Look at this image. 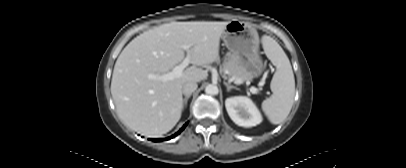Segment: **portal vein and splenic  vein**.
<instances>
[{"label":"portal vein and splenic vein","mask_w":406,"mask_h":168,"mask_svg":"<svg viewBox=\"0 0 406 168\" xmlns=\"http://www.w3.org/2000/svg\"><path fill=\"white\" fill-rule=\"evenodd\" d=\"M182 48H183L184 50H186V51H189L190 45L184 44V45L182 46ZM189 63H190V59H189V57L187 56V57L183 60V62H182L181 64L175 66L171 72H168V73H166V74H163V75L159 76L158 78H159L160 80H162V81H169V80H173L174 78L181 77L182 74H183V70L189 65ZM235 82H236L237 84H241V81H239V80H236ZM250 92H251L252 94H257V93L259 92V90H258L256 87H251V88H250Z\"/></svg>","instance_id":"portal-vein-and-splenic-vein-1"}]
</instances>
